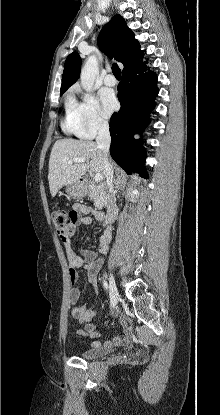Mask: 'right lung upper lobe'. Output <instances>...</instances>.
I'll return each mask as SVG.
<instances>
[{"label": "right lung upper lobe", "instance_id": "1", "mask_svg": "<svg viewBox=\"0 0 220 415\" xmlns=\"http://www.w3.org/2000/svg\"><path fill=\"white\" fill-rule=\"evenodd\" d=\"M98 46L107 55H110V51L114 53L115 59L124 65L123 73L147 62L140 60L143 57L140 44L120 15H115L102 28L98 36ZM80 69L81 58L78 53L73 52L65 61L60 92H65L78 80Z\"/></svg>", "mask_w": 220, "mask_h": 415}]
</instances>
